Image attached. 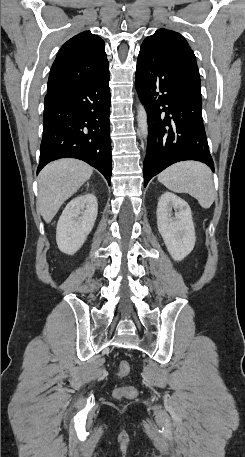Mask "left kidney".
<instances>
[{
    "label": "left kidney",
    "mask_w": 245,
    "mask_h": 457,
    "mask_svg": "<svg viewBox=\"0 0 245 457\" xmlns=\"http://www.w3.org/2000/svg\"><path fill=\"white\" fill-rule=\"evenodd\" d=\"M156 214L158 231L168 253L174 261H182L193 251L196 241L188 202L174 192H164L158 200Z\"/></svg>",
    "instance_id": "left-kidney-1"
}]
</instances>
